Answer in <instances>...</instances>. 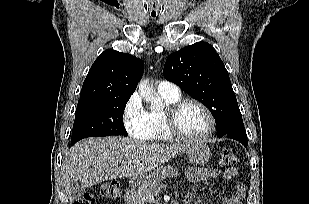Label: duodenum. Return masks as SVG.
<instances>
[{
    "mask_svg": "<svg viewBox=\"0 0 309 204\" xmlns=\"http://www.w3.org/2000/svg\"><path fill=\"white\" fill-rule=\"evenodd\" d=\"M137 183H138V181L135 178L129 180L130 191L126 195L128 201L131 200V198L133 196V193H132L131 190L137 185Z\"/></svg>",
    "mask_w": 309,
    "mask_h": 204,
    "instance_id": "duodenum-1",
    "label": "duodenum"
}]
</instances>
